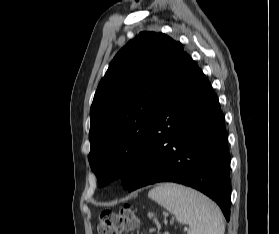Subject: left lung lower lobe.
I'll return each mask as SVG.
<instances>
[{
  "label": "left lung lower lobe",
  "instance_id": "obj_1",
  "mask_svg": "<svg viewBox=\"0 0 279 234\" xmlns=\"http://www.w3.org/2000/svg\"><path fill=\"white\" fill-rule=\"evenodd\" d=\"M230 155L224 114L210 82L183 54L155 110L145 152L127 188L171 181L193 187L230 219Z\"/></svg>",
  "mask_w": 279,
  "mask_h": 234
}]
</instances>
